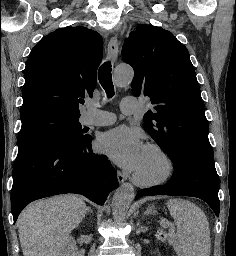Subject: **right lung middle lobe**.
Returning a JSON list of instances; mask_svg holds the SVG:
<instances>
[{
    "instance_id": "obj_1",
    "label": "right lung middle lobe",
    "mask_w": 236,
    "mask_h": 256,
    "mask_svg": "<svg viewBox=\"0 0 236 256\" xmlns=\"http://www.w3.org/2000/svg\"><path fill=\"white\" fill-rule=\"evenodd\" d=\"M78 119L55 111H42L21 119L18 155L49 142L80 143L86 140L88 136L83 135L85 132Z\"/></svg>"
}]
</instances>
